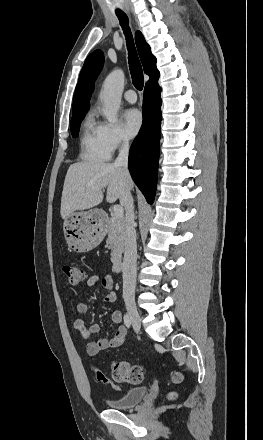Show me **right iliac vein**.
<instances>
[{
  "label": "right iliac vein",
  "mask_w": 263,
  "mask_h": 440,
  "mask_svg": "<svg viewBox=\"0 0 263 440\" xmlns=\"http://www.w3.org/2000/svg\"><path fill=\"white\" fill-rule=\"evenodd\" d=\"M126 308H127L128 315L131 319L133 328L138 333L140 331V327H141V319H140L139 312L136 308V305L134 303V300L127 299L126 300Z\"/></svg>",
  "instance_id": "obj_1"
}]
</instances>
